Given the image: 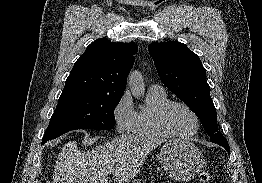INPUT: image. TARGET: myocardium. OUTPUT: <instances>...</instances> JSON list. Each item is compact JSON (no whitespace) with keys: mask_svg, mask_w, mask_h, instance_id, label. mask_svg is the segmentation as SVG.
<instances>
[{"mask_svg":"<svg viewBox=\"0 0 262 183\" xmlns=\"http://www.w3.org/2000/svg\"><path fill=\"white\" fill-rule=\"evenodd\" d=\"M176 106H180L185 108L188 112L191 113V115L193 116L196 126L195 129L190 132V133H186V134H179L174 132L168 125V116L170 111L176 107ZM200 118L198 116V114L195 112V110L189 106L187 103L181 102V101H170L169 103H167L160 111L159 115H158V126L159 129L168 137L171 138H177V139H187L190 137L195 136L199 129H200Z\"/></svg>","mask_w":262,"mask_h":183,"instance_id":"obj_1","label":"myocardium"}]
</instances>
